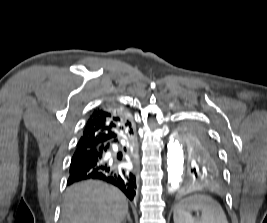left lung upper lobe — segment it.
I'll list each match as a JSON object with an SVG mask.
<instances>
[{
    "label": "left lung upper lobe",
    "mask_w": 267,
    "mask_h": 223,
    "mask_svg": "<svg viewBox=\"0 0 267 223\" xmlns=\"http://www.w3.org/2000/svg\"><path fill=\"white\" fill-rule=\"evenodd\" d=\"M179 133L189 171H222L216 147L203 128L187 124Z\"/></svg>",
    "instance_id": "5c2ea615"
}]
</instances>
